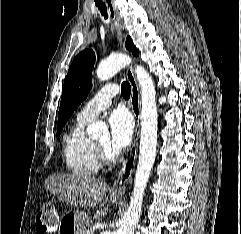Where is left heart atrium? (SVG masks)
<instances>
[{
    "mask_svg": "<svg viewBox=\"0 0 241 234\" xmlns=\"http://www.w3.org/2000/svg\"><path fill=\"white\" fill-rule=\"evenodd\" d=\"M108 124L110 129V149L113 153H119L131 141L133 121L126 111L116 110L109 116Z\"/></svg>",
    "mask_w": 241,
    "mask_h": 234,
    "instance_id": "left-heart-atrium-1",
    "label": "left heart atrium"
}]
</instances>
